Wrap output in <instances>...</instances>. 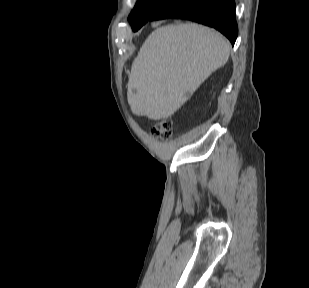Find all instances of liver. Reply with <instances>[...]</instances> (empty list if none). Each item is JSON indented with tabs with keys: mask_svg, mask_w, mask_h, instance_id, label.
Segmentation results:
<instances>
[{
	"mask_svg": "<svg viewBox=\"0 0 309 288\" xmlns=\"http://www.w3.org/2000/svg\"><path fill=\"white\" fill-rule=\"evenodd\" d=\"M230 43L214 29L185 23L156 28L131 67L127 98L135 115L171 117L229 59Z\"/></svg>",
	"mask_w": 309,
	"mask_h": 288,
	"instance_id": "liver-1",
	"label": "liver"
}]
</instances>
